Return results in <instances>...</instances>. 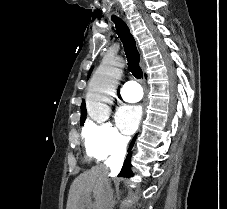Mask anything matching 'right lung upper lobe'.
Masks as SVG:
<instances>
[{"label":"right lung upper lobe","mask_w":227,"mask_h":209,"mask_svg":"<svg viewBox=\"0 0 227 209\" xmlns=\"http://www.w3.org/2000/svg\"><path fill=\"white\" fill-rule=\"evenodd\" d=\"M91 71H92V68H91L90 72ZM89 75H88V77H89ZM86 115H87V111H86L85 101L82 100V104H81V118H80V120L81 119H86Z\"/></svg>","instance_id":"cb5924a9"}]
</instances>
